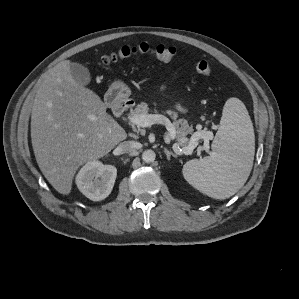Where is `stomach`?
<instances>
[{"label": "stomach", "mask_w": 299, "mask_h": 299, "mask_svg": "<svg viewBox=\"0 0 299 299\" xmlns=\"http://www.w3.org/2000/svg\"><path fill=\"white\" fill-rule=\"evenodd\" d=\"M109 93L116 101H125L131 94L130 89L121 81H115L109 88Z\"/></svg>", "instance_id": "obj_1"}]
</instances>
